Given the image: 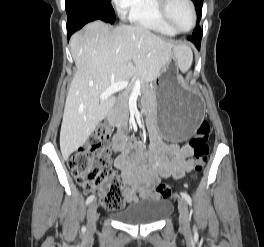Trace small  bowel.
Listing matches in <instances>:
<instances>
[{
  "instance_id": "obj_1",
  "label": "small bowel",
  "mask_w": 264,
  "mask_h": 247,
  "mask_svg": "<svg viewBox=\"0 0 264 247\" xmlns=\"http://www.w3.org/2000/svg\"><path fill=\"white\" fill-rule=\"evenodd\" d=\"M151 146L146 150L133 136L119 131L113 138L115 167L127 185L128 202L138 197L155 199L154 189L162 178L182 179L192 169V150L187 144L165 142L158 130L150 127Z\"/></svg>"
}]
</instances>
